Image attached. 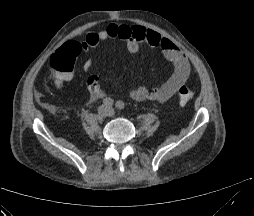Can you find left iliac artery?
Returning a JSON list of instances; mask_svg holds the SVG:
<instances>
[{"instance_id":"1","label":"left iliac artery","mask_w":254,"mask_h":216,"mask_svg":"<svg viewBox=\"0 0 254 216\" xmlns=\"http://www.w3.org/2000/svg\"><path fill=\"white\" fill-rule=\"evenodd\" d=\"M115 106L119 110H123L125 108V104L122 101H117Z\"/></svg>"}]
</instances>
